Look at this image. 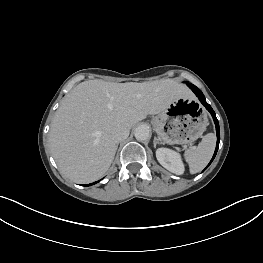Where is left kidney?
<instances>
[{
	"mask_svg": "<svg viewBox=\"0 0 263 263\" xmlns=\"http://www.w3.org/2000/svg\"><path fill=\"white\" fill-rule=\"evenodd\" d=\"M156 158L170 172L177 175L184 173V164L179 153L168 148H158L156 150Z\"/></svg>",
	"mask_w": 263,
	"mask_h": 263,
	"instance_id": "obj_1",
	"label": "left kidney"
}]
</instances>
